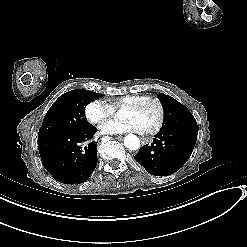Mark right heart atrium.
Segmentation results:
<instances>
[{"label":"right heart atrium","mask_w":247,"mask_h":247,"mask_svg":"<svg viewBox=\"0 0 247 247\" xmlns=\"http://www.w3.org/2000/svg\"><path fill=\"white\" fill-rule=\"evenodd\" d=\"M114 107L101 99L90 100L84 107L86 119L92 124H100L111 117Z\"/></svg>","instance_id":"d8ad5b80"}]
</instances>
